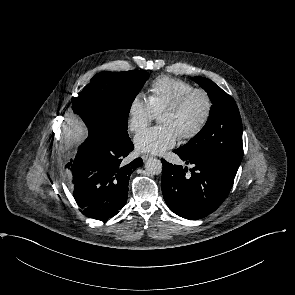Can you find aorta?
<instances>
[{
  "instance_id": "1",
  "label": "aorta",
  "mask_w": 295,
  "mask_h": 295,
  "mask_svg": "<svg viewBox=\"0 0 295 295\" xmlns=\"http://www.w3.org/2000/svg\"><path fill=\"white\" fill-rule=\"evenodd\" d=\"M145 169L149 175H158L162 172V163L156 158L148 159L145 164Z\"/></svg>"
}]
</instances>
